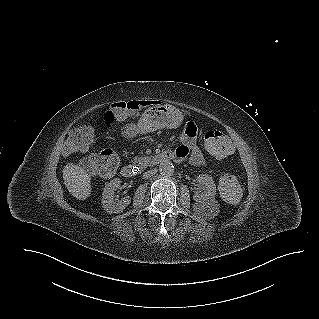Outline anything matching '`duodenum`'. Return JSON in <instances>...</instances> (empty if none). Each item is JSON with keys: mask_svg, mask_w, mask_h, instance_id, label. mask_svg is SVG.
<instances>
[{"mask_svg": "<svg viewBox=\"0 0 319 319\" xmlns=\"http://www.w3.org/2000/svg\"><path fill=\"white\" fill-rule=\"evenodd\" d=\"M174 159V154L171 151L162 152L153 155L148 163L149 167H155L159 164ZM137 173V168L133 164H126L122 168V175L127 178L134 177Z\"/></svg>", "mask_w": 319, "mask_h": 319, "instance_id": "duodenum-1", "label": "duodenum"}]
</instances>
